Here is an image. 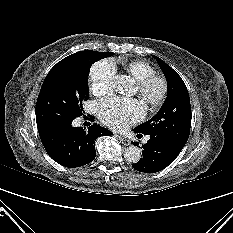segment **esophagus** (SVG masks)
<instances>
[{"instance_id":"34e87169","label":"esophagus","mask_w":233,"mask_h":233,"mask_svg":"<svg viewBox=\"0 0 233 233\" xmlns=\"http://www.w3.org/2000/svg\"><path fill=\"white\" fill-rule=\"evenodd\" d=\"M119 140H120V142H121L123 145H125V146L130 145V140L127 139V138H125V137L119 136Z\"/></svg>"}]
</instances>
